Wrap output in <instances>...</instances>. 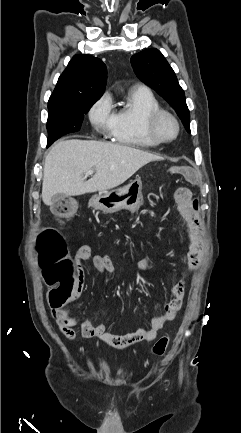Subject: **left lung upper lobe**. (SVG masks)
<instances>
[{
  "instance_id": "5c2ea615",
  "label": "left lung upper lobe",
  "mask_w": 241,
  "mask_h": 433,
  "mask_svg": "<svg viewBox=\"0 0 241 433\" xmlns=\"http://www.w3.org/2000/svg\"><path fill=\"white\" fill-rule=\"evenodd\" d=\"M131 65L137 77L151 86L174 108L186 130L190 132V114L184 91L162 53L155 48L141 51L132 56Z\"/></svg>"
}]
</instances>
